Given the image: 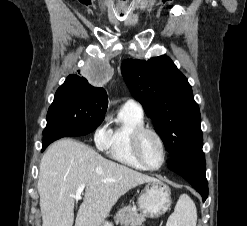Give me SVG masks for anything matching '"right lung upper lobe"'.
Instances as JSON below:
<instances>
[{"instance_id":"cb5924a9","label":"right lung upper lobe","mask_w":247,"mask_h":226,"mask_svg":"<svg viewBox=\"0 0 247 226\" xmlns=\"http://www.w3.org/2000/svg\"><path fill=\"white\" fill-rule=\"evenodd\" d=\"M63 84L71 85L79 90L86 91L90 94L95 95L96 97L102 99L105 104L108 105L107 93L104 88L95 87L91 85L87 79L83 76H79L76 74H71L67 77Z\"/></svg>"}]
</instances>
